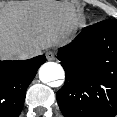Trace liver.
<instances>
[{
  "instance_id": "obj_1",
  "label": "liver",
  "mask_w": 117,
  "mask_h": 117,
  "mask_svg": "<svg viewBox=\"0 0 117 117\" xmlns=\"http://www.w3.org/2000/svg\"><path fill=\"white\" fill-rule=\"evenodd\" d=\"M81 18L67 4L20 2L0 7V58H21L27 49L56 46L67 40Z\"/></svg>"
}]
</instances>
